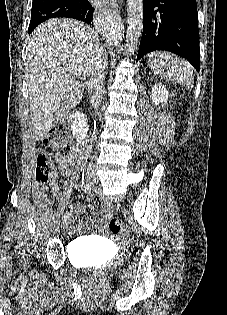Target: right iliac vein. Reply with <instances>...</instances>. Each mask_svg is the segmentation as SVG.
Segmentation results:
<instances>
[{"label":"right iliac vein","mask_w":227,"mask_h":315,"mask_svg":"<svg viewBox=\"0 0 227 315\" xmlns=\"http://www.w3.org/2000/svg\"><path fill=\"white\" fill-rule=\"evenodd\" d=\"M87 182H88V184H91V185H94L98 182V176L94 170H91L87 173ZM70 224H71V221L69 219L65 220L62 224V228L64 230L68 229Z\"/></svg>","instance_id":"63e3f726"}]
</instances>
